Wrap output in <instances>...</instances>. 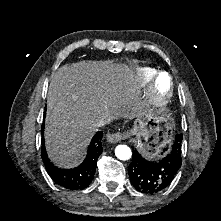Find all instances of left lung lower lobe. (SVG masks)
Returning a JSON list of instances; mask_svg holds the SVG:
<instances>
[{
	"mask_svg": "<svg viewBox=\"0 0 221 221\" xmlns=\"http://www.w3.org/2000/svg\"><path fill=\"white\" fill-rule=\"evenodd\" d=\"M181 143L182 134H177L170 153L159 161H148L137 150L133 151L128 173L131 184L136 190L153 194L170 185L182 165Z\"/></svg>",
	"mask_w": 221,
	"mask_h": 221,
	"instance_id": "obj_1",
	"label": "left lung lower lobe"
}]
</instances>
